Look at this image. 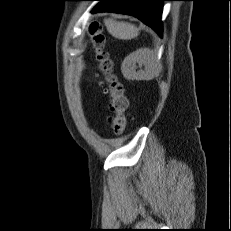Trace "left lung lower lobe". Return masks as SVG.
<instances>
[{
  "instance_id": "left-lung-lower-lobe-1",
  "label": "left lung lower lobe",
  "mask_w": 231,
  "mask_h": 231,
  "mask_svg": "<svg viewBox=\"0 0 231 231\" xmlns=\"http://www.w3.org/2000/svg\"><path fill=\"white\" fill-rule=\"evenodd\" d=\"M99 1L92 12H116L132 15L153 28L162 37V2L169 0H84Z\"/></svg>"
}]
</instances>
